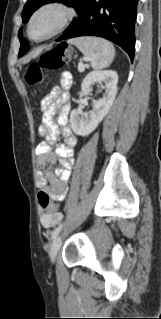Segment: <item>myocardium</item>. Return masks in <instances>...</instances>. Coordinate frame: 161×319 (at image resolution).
I'll use <instances>...</instances> for the list:
<instances>
[{
  "label": "myocardium",
  "mask_w": 161,
  "mask_h": 319,
  "mask_svg": "<svg viewBox=\"0 0 161 319\" xmlns=\"http://www.w3.org/2000/svg\"><path fill=\"white\" fill-rule=\"evenodd\" d=\"M56 11L58 13V18L53 27L49 32L40 37H34L31 33L32 24L34 21L44 15L46 12ZM74 10L66 3L59 0H52L42 4L38 7L33 14L31 15L28 25H27V35L28 37L35 42H41L48 40L58 33H60L72 20L74 17Z\"/></svg>",
  "instance_id": "1"
}]
</instances>
